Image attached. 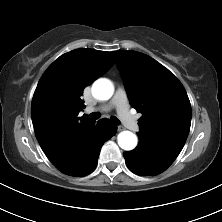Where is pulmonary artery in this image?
<instances>
[{
	"instance_id": "pulmonary-artery-1",
	"label": "pulmonary artery",
	"mask_w": 222,
	"mask_h": 222,
	"mask_svg": "<svg viewBox=\"0 0 222 222\" xmlns=\"http://www.w3.org/2000/svg\"><path fill=\"white\" fill-rule=\"evenodd\" d=\"M111 109H116L117 114L124 123V125L132 130H137L139 128L136 118L129 112V106L127 103V95L122 87H118L115 91L113 98L106 105L93 108H86L87 113L94 111H110Z\"/></svg>"
}]
</instances>
